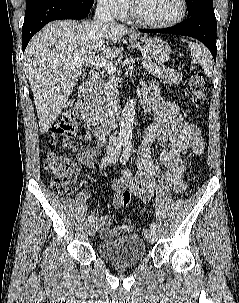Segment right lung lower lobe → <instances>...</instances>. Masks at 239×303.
<instances>
[{
    "instance_id": "right-lung-lower-lobe-1",
    "label": "right lung lower lobe",
    "mask_w": 239,
    "mask_h": 303,
    "mask_svg": "<svg viewBox=\"0 0 239 303\" xmlns=\"http://www.w3.org/2000/svg\"><path fill=\"white\" fill-rule=\"evenodd\" d=\"M22 27V48L25 50L32 36L47 23L60 19H83L93 5V0H29Z\"/></svg>"
}]
</instances>
